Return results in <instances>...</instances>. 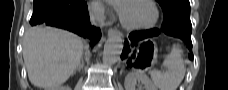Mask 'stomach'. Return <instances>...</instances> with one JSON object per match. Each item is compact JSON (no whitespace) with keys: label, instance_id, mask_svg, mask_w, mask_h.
I'll use <instances>...</instances> for the list:
<instances>
[{"label":"stomach","instance_id":"1","mask_svg":"<svg viewBox=\"0 0 228 90\" xmlns=\"http://www.w3.org/2000/svg\"><path fill=\"white\" fill-rule=\"evenodd\" d=\"M157 47L152 41H144L141 43L140 49L138 48L133 63L141 68H149L154 65L157 59Z\"/></svg>","mask_w":228,"mask_h":90}]
</instances>
